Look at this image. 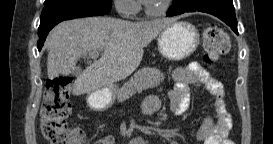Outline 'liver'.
<instances>
[{"mask_svg":"<svg viewBox=\"0 0 273 144\" xmlns=\"http://www.w3.org/2000/svg\"><path fill=\"white\" fill-rule=\"evenodd\" d=\"M175 19L130 22L111 17H87L64 21L47 37L49 79L69 75L82 55L104 50L78 76L72 93L82 95L114 86L140 65L146 47Z\"/></svg>","mask_w":273,"mask_h":144,"instance_id":"obj_1","label":"liver"}]
</instances>
